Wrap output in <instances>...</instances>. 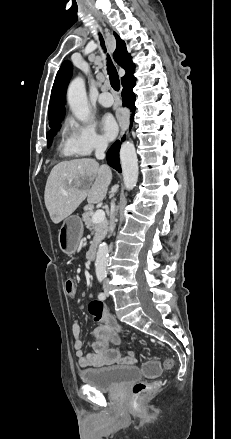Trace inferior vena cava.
Returning a JSON list of instances; mask_svg holds the SVG:
<instances>
[{"instance_id":"602c4592","label":"inferior vena cava","mask_w":231,"mask_h":439,"mask_svg":"<svg viewBox=\"0 0 231 439\" xmlns=\"http://www.w3.org/2000/svg\"><path fill=\"white\" fill-rule=\"evenodd\" d=\"M107 148V143L104 141H98L96 143L95 148V156L97 159L102 160L105 158V151ZM115 203L114 201L111 202V215H110V223H109V230L110 233H112L115 229Z\"/></svg>"}]
</instances>
